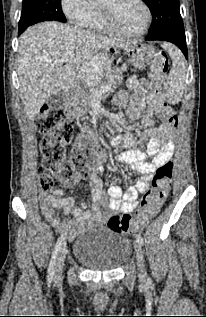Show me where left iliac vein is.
Segmentation results:
<instances>
[{
  "mask_svg": "<svg viewBox=\"0 0 206 317\" xmlns=\"http://www.w3.org/2000/svg\"><path fill=\"white\" fill-rule=\"evenodd\" d=\"M134 247H135L138 275L141 280H144L146 279L147 273H146V267L144 263L142 248L138 241L134 243Z\"/></svg>",
  "mask_w": 206,
  "mask_h": 317,
  "instance_id": "1",
  "label": "left iliac vein"
}]
</instances>
